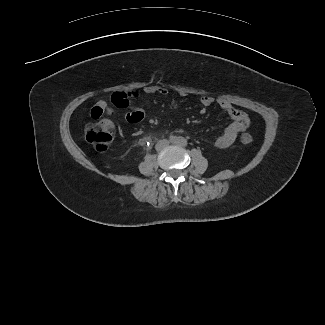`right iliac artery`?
<instances>
[{
	"instance_id": "obj_1",
	"label": "right iliac artery",
	"mask_w": 325,
	"mask_h": 325,
	"mask_svg": "<svg viewBox=\"0 0 325 325\" xmlns=\"http://www.w3.org/2000/svg\"><path fill=\"white\" fill-rule=\"evenodd\" d=\"M169 140H170L171 142H174V141L176 140V137L170 135V136H169Z\"/></svg>"
}]
</instances>
